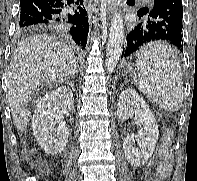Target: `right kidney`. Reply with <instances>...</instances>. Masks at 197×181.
Wrapping results in <instances>:
<instances>
[{
    "mask_svg": "<svg viewBox=\"0 0 197 181\" xmlns=\"http://www.w3.org/2000/svg\"><path fill=\"white\" fill-rule=\"evenodd\" d=\"M73 93L68 87H59L47 92L37 103L32 117V129L39 145L47 154L56 155L62 152L68 142L69 130L60 123L53 132L61 114L72 110Z\"/></svg>",
    "mask_w": 197,
    "mask_h": 181,
    "instance_id": "right-kidney-1",
    "label": "right kidney"
}]
</instances>
